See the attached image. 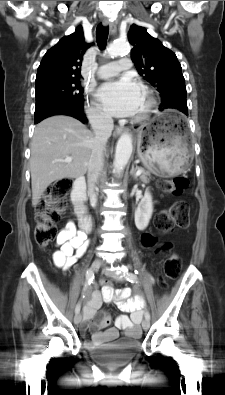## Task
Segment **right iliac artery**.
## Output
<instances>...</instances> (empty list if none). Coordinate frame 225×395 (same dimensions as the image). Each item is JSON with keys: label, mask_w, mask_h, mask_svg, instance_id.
Wrapping results in <instances>:
<instances>
[{"label": "right iliac artery", "mask_w": 225, "mask_h": 395, "mask_svg": "<svg viewBox=\"0 0 225 395\" xmlns=\"http://www.w3.org/2000/svg\"><path fill=\"white\" fill-rule=\"evenodd\" d=\"M94 279V273L91 271V269L87 270L86 272V282H85V287L84 289H86L93 281ZM80 308H81V304L80 302L76 305L75 307V313H79L80 312Z\"/></svg>", "instance_id": "1"}]
</instances>
